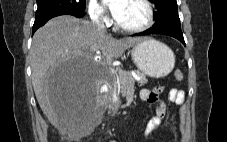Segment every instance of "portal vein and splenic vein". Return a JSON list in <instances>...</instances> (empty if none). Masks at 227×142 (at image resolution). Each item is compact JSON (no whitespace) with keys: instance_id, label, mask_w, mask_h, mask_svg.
Segmentation results:
<instances>
[{"instance_id":"portal-vein-and-splenic-vein-1","label":"portal vein and splenic vein","mask_w":227,"mask_h":142,"mask_svg":"<svg viewBox=\"0 0 227 142\" xmlns=\"http://www.w3.org/2000/svg\"><path fill=\"white\" fill-rule=\"evenodd\" d=\"M138 80H140L139 78H138ZM134 85H131V88L133 87Z\"/></svg>"}]
</instances>
